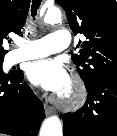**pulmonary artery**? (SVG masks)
I'll list each match as a JSON object with an SVG mask.
<instances>
[{"mask_svg": "<svg viewBox=\"0 0 117 136\" xmlns=\"http://www.w3.org/2000/svg\"><path fill=\"white\" fill-rule=\"evenodd\" d=\"M70 43L71 34L65 29H57L40 39L21 41L19 48L11 53V63L60 52L69 47Z\"/></svg>", "mask_w": 117, "mask_h": 136, "instance_id": "1", "label": "pulmonary artery"}]
</instances>
